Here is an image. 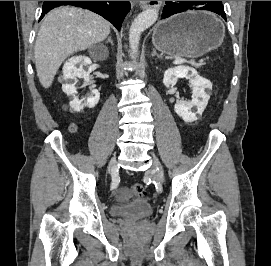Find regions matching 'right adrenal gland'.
Instances as JSON below:
<instances>
[{
    "instance_id": "obj_1",
    "label": "right adrenal gland",
    "mask_w": 271,
    "mask_h": 266,
    "mask_svg": "<svg viewBox=\"0 0 271 266\" xmlns=\"http://www.w3.org/2000/svg\"><path fill=\"white\" fill-rule=\"evenodd\" d=\"M106 44L107 43H111V45H113V41L111 40V36L108 37L107 41L105 42Z\"/></svg>"
}]
</instances>
